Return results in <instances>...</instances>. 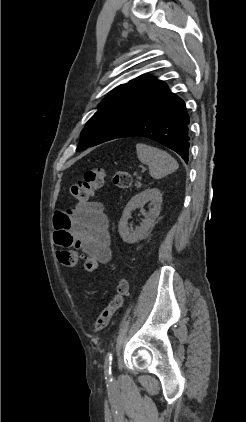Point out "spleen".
<instances>
[{
  "instance_id": "spleen-1",
  "label": "spleen",
  "mask_w": 246,
  "mask_h": 422,
  "mask_svg": "<svg viewBox=\"0 0 246 422\" xmlns=\"http://www.w3.org/2000/svg\"><path fill=\"white\" fill-rule=\"evenodd\" d=\"M138 159L149 166L150 175L159 179L178 169L177 161L166 151L145 144H137Z\"/></svg>"
}]
</instances>
